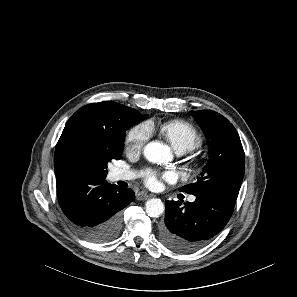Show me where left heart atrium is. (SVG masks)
I'll return each instance as SVG.
<instances>
[{
  "instance_id": "1",
  "label": "left heart atrium",
  "mask_w": 297,
  "mask_h": 297,
  "mask_svg": "<svg viewBox=\"0 0 297 297\" xmlns=\"http://www.w3.org/2000/svg\"><path fill=\"white\" fill-rule=\"evenodd\" d=\"M145 183L149 187H155L159 183V178L161 177L156 171L146 170L144 173ZM162 178L166 180H174L176 178V173L174 171H166L162 174Z\"/></svg>"
}]
</instances>
